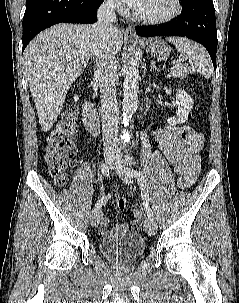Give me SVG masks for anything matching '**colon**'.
Wrapping results in <instances>:
<instances>
[{"label":"colon","mask_w":239,"mask_h":303,"mask_svg":"<svg viewBox=\"0 0 239 303\" xmlns=\"http://www.w3.org/2000/svg\"><path fill=\"white\" fill-rule=\"evenodd\" d=\"M76 124V109L71 107L61 115L47 139L45 166L58 186L66 183V172L72 161ZM126 205V198L119 196L116 200L117 208L124 210ZM139 226L140 220L137 219L134 228L138 229Z\"/></svg>","instance_id":"1"}]
</instances>
